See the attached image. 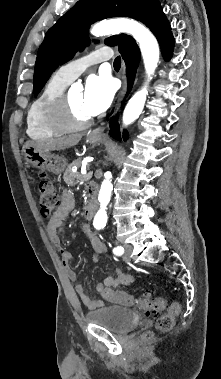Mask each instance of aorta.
<instances>
[{
    "mask_svg": "<svg viewBox=\"0 0 221 379\" xmlns=\"http://www.w3.org/2000/svg\"><path fill=\"white\" fill-rule=\"evenodd\" d=\"M121 32L132 35L139 43L145 70L148 75V81L151 80V75L154 73L158 65L160 52L158 42L149 29L136 20L128 18L103 21L95 24L91 28V34L96 37ZM147 93V87L144 86L131 97L123 112L124 125L131 124L140 116L145 105ZM111 192V173L107 172L99 191L98 200L100 202V208L94 217V225L96 227H103L107 222L106 209L111 198Z\"/></svg>",
    "mask_w": 221,
    "mask_h": 379,
    "instance_id": "1",
    "label": "aorta"
}]
</instances>
